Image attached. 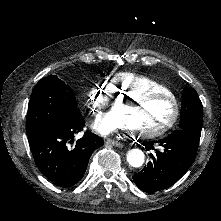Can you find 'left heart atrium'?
I'll list each match as a JSON object with an SVG mask.
<instances>
[{
  "mask_svg": "<svg viewBox=\"0 0 221 221\" xmlns=\"http://www.w3.org/2000/svg\"><path fill=\"white\" fill-rule=\"evenodd\" d=\"M136 123L137 114L132 109H123L105 113L100 122L94 125V129L101 134H107L115 130L132 128Z\"/></svg>",
  "mask_w": 221,
  "mask_h": 221,
  "instance_id": "39dd6f15",
  "label": "left heart atrium"
}]
</instances>
